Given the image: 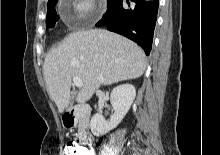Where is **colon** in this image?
Masks as SVG:
<instances>
[{
    "mask_svg": "<svg viewBox=\"0 0 220 155\" xmlns=\"http://www.w3.org/2000/svg\"><path fill=\"white\" fill-rule=\"evenodd\" d=\"M86 143H81L79 146L76 141H69L65 144L66 155H90V152L86 150Z\"/></svg>",
    "mask_w": 220,
    "mask_h": 155,
    "instance_id": "colon-1",
    "label": "colon"
}]
</instances>
